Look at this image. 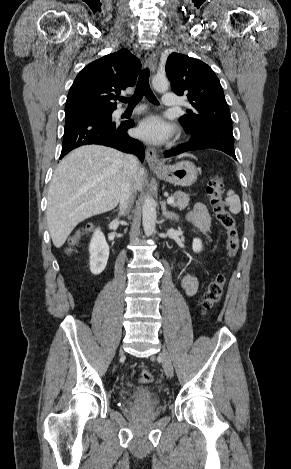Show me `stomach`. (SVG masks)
Segmentation results:
<instances>
[{"label": "stomach", "mask_w": 291, "mask_h": 469, "mask_svg": "<svg viewBox=\"0 0 291 469\" xmlns=\"http://www.w3.org/2000/svg\"><path fill=\"white\" fill-rule=\"evenodd\" d=\"M154 173L162 180L178 186H190L198 177V169L188 161H180L174 165H166Z\"/></svg>", "instance_id": "1"}]
</instances>
